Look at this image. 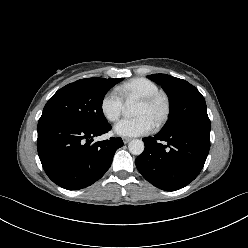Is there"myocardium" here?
<instances>
[{
  "label": "myocardium",
  "instance_id": "1",
  "mask_svg": "<svg viewBox=\"0 0 248 248\" xmlns=\"http://www.w3.org/2000/svg\"><path fill=\"white\" fill-rule=\"evenodd\" d=\"M138 103H141L146 106H154L156 104L162 103L164 110L161 117L155 122L154 128L158 129L165 125L170 116L171 111L170 101L166 95L162 93L154 94L138 100Z\"/></svg>",
  "mask_w": 248,
  "mask_h": 248
}]
</instances>
